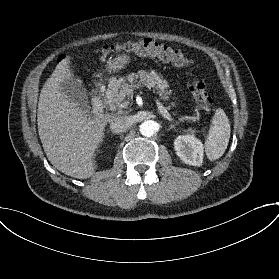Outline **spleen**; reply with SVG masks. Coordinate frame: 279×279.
<instances>
[{"mask_svg":"<svg viewBox=\"0 0 279 279\" xmlns=\"http://www.w3.org/2000/svg\"><path fill=\"white\" fill-rule=\"evenodd\" d=\"M230 123L223 109H217L205 142V152L209 160L219 159L225 152L230 139Z\"/></svg>","mask_w":279,"mask_h":279,"instance_id":"obj_1","label":"spleen"}]
</instances>
